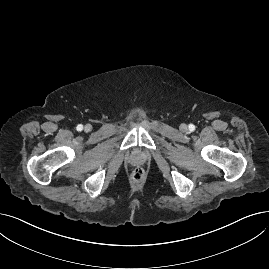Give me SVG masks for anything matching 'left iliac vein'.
Returning <instances> with one entry per match:
<instances>
[{"mask_svg": "<svg viewBox=\"0 0 269 269\" xmlns=\"http://www.w3.org/2000/svg\"><path fill=\"white\" fill-rule=\"evenodd\" d=\"M180 130L183 132H186L188 130V126L186 124H181L180 125Z\"/></svg>", "mask_w": 269, "mask_h": 269, "instance_id": "obj_1", "label": "left iliac vein"}]
</instances>
